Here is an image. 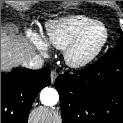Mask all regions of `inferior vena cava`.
<instances>
[{"instance_id": "inferior-vena-cava-1", "label": "inferior vena cava", "mask_w": 123, "mask_h": 123, "mask_svg": "<svg viewBox=\"0 0 123 123\" xmlns=\"http://www.w3.org/2000/svg\"><path fill=\"white\" fill-rule=\"evenodd\" d=\"M43 64H44V60L39 55H34L30 59L25 60V61L22 62V65L25 68L33 69V70H37V69L42 68Z\"/></svg>"}]
</instances>
